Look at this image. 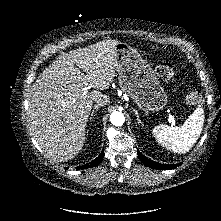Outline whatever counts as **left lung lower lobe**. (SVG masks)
Wrapping results in <instances>:
<instances>
[{"label": "left lung lower lobe", "mask_w": 221, "mask_h": 221, "mask_svg": "<svg viewBox=\"0 0 221 221\" xmlns=\"http://www.w3.org/2000/svg\"><path fill=\"white\" fill-rule=\"evenodd\" d=\"M138 157L139 159L142 161V163L150 168H155V169H174L176 168L177 166L181 165L180 164H172V165H167V164H161V163H158V162H154L148 158H146L144 155H142L141 152L138 151Z\"/></svg>", "instance_id": "left-lung-lower-lobe-1"}]
</instances>
